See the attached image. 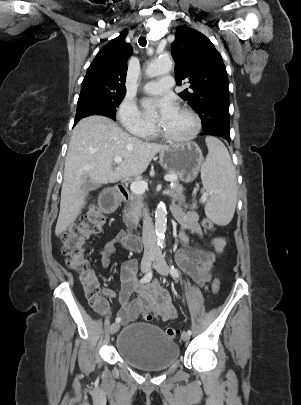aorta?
Returning <instances> with one entry per match:
<instances>
[{"label":"aorta","instance_id":"762f6f07","mask_svg":"<svg viewBox=\"0 0 301 405\" xmlns=\"http://www.w3.org/2000/svg\"><path fill=\"white\" fill-rule=\"evenodd\" d=\"M173 68V63L170 58H159L150 62L146 69L148 77L169 73ZM167 223L166 205L160 202L155 211V232L158 244L161 245L165 237Z\"/></svg>","mask_w":301,"mask_h":405}]
</instances>
